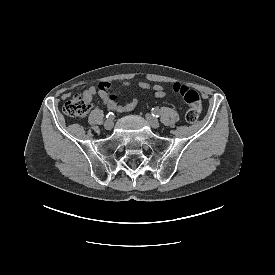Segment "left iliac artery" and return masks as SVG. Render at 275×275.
Returning a JSON list of instances; mask_svg holds the SVG:
<instances>
[{"mask_svg":"<svg viewBox=\"0 0 275 275\" xmlns=\"http://www.w3.org/2000/svg\"><path fill=\"white\" fill-rule=\"evenodd\" d=\"M152 115L154 117H159L160 111L158 110V108H152Z\"/></svg>","mask_w":275,"mask_h":275,"instance_id":"44dca946","label":"left iliac artery"}]
</instances>
